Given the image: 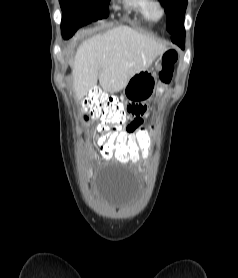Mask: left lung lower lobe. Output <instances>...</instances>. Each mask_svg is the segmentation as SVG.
<instances>
[{
  "instance_id": "left-lung-lower-lobe-1",
  "label": "left lung lower lobe",
  "mask_w": 238,
  "mask_h": 278,
  "mask_svg": "<svg viewBox=\"0 0 238 278\" xmlns=\"http://www.w3.org/2000/svg\"><path fill=\"white\" fill-rule=\"evenodd\" d=\"M172 40L174 43L184 48L185 43V30H184V20L181 22L180 26L172 33Z\"/></svg>"
}]
</instances>
